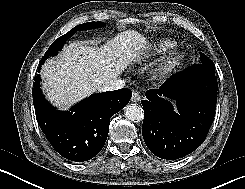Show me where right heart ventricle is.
Wrapping results in <instances>:
<instances>
[{"label":"right heart ventricle","mask_w":245,"mask_h":189,"mask_svg":"<svg viewBox=\"0 0 245 189\" xmlns=\"http://www.w3.org/2000/svg\"><path fill=\"white\" fill-rule=\"evenodd\" d=\"M174 47H175V44L172 41L162 40L154 45L153 51L155 54L161 55V54L168 52Z\"/></svg>","instance_id":"1"}]
</instances>
